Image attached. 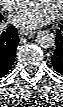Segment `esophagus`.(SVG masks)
Segmentation results:
<instances>
[{
  "instance_id": "34e87169",
  "label": "esophagus",
  "mask_w": 63,
  "mask_h": 107,
  "mask_svg": "<svg viewBox=\"0 0 63 107\" xmlns=\"http://www.w3.org/2000/svg\"><path fill=\"white\" fill-rule=\"evenodd\" d=\"M36 33L35 30H31V29H22L20 30V34L21 35H25V36H32Z\"/></svg>"
}]
</instances>
